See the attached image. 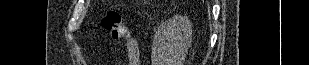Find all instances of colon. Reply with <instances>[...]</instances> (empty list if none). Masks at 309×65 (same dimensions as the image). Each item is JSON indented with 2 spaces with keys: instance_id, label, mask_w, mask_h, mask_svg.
I'll return each mask as SVG.
<instances>
[{
  "instance_id": "1",
  "label": "colon",
  "mask_w": 309,
  "mask_h": 65,
  "mask_svg": "<svg viewBox=\"0 0 309 65\" xmlns=\"http://www.w3.org/2000/svg\"><path fill=\"white\" fill-rule=\"evenodd\" d=\"M103 28L116 40L127 37V30L118 11H109L101 20Z\"/></svg>"
}]
</instances>
